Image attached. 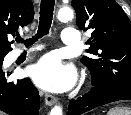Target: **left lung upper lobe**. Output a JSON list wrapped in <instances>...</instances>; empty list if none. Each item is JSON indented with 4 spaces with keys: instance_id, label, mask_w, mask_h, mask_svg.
I'll return each instance as SVG.
<instances>
[{
    "instance_id": "obj_1",
    "label": "left lung upper lobe",
    "mask_w": 131,
    "mask_h": 115,
    "mask_svg": "<svg viewBox=\"0 0 131 115\" xmlns=\"http://www.w3.org/2000/svg\"><path fill=\"white\" fill-rule=\"evenodd\" d=\"M81 30L93 29L82 63L90 70L92 84L102 88L131 89V22L114 0H72Z\"/></svg>"
}]
</instances>
